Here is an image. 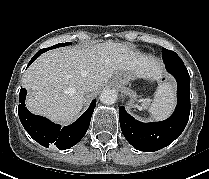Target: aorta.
Wrapping results in <instances>:
<instances>
[{"label": "aorta", "instance_id": "1", "mask_svg": "<svg viewBox=\"0 0 209 179\" xmlns=\"http://www.w3.org/2000/svg\"><path fill=\"white\" fill-rule=\"evenodd\" d=\"M117 100V93L114 90H104L100 95V101L106 105H112Z\"/></svg>", "mask_w": 209, "mask_h": 179}]
</instances>
